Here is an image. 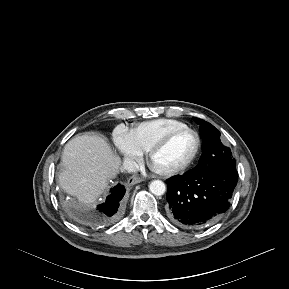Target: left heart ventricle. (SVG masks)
<instances>
[{"instance_id":"obj_1","label":"left heart ventricle","mask_w":289,"mask_h":289,"mask_svg":"<svg viewBox=\"0 0 289 289\" xmlns=\"http://www.w3.org/2000/svg\"><path fill=\"white\" fill-rule=\"evenodd\" d=\"M196 147V138L185 132L174 137L153 158L152 165L158 170H170L186 162Z\"/></svg>"}]
</instances>
